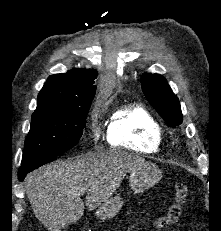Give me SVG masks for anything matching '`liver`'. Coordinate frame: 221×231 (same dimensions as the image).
I'll return each instance as SVG.
<instances>
[{"label":"liver","mask_w":221,"mask_h":231,"mask_svg":"<svg viewBox=\"0 0 221 231\" xmlns=\"http://www.w3.org/2000/svg\"><path fill=\"white\" fill-rule=\"evenodd\" d=\"M145 160L125 152H90L59 160L30 173L26 194L37 219L49 231H60L84 213L81 195L87 191L86 207L94 210L107 201L126 174ZM83 188H87L82 192Z\"/></svg>","instance_id":"obj_1"}]
</instances>
